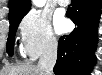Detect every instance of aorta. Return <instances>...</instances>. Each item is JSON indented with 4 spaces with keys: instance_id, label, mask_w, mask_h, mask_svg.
Listing matches in <instances>:
<instances>
[{
    "instance_id": "obj_1",
    "label": "aorta",
    "mask_w": 102,
    "mask_h": 75,
    "mask_svg": "<svg viewBox=\"0 0 102 75\" xmlns=\"http://www.w3.org/2000/svg\"><path fill=\"white\" fill-rule=\"evenodd\" d=\"M45 0H33V4L37 7H42L45 4Z\"/></svg>"
}]
</instances>
